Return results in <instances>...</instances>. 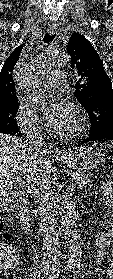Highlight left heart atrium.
Wrapping results in <instances>:
<instances>
[{"instance_id":"1","label":"left heart atrium","mask_w":113,"mask_h":279,"mask_svg":"<svg viewBox=\"0 0 113 279\" xmlns=\"http://www.w3.org/2000/svg\"><path fill=\"white\" fill-rule=\"evenodd\" d=\"M72 108L66 101L54 104L47 115V122L51 129L61 132L71 118Z\"/></svg>"}]
</instances>
